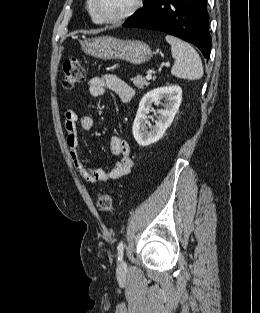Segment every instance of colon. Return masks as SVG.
I'll return each mask as SVG.
<instances>
[{"label": "colon", "mask_w": 260, "mask_h": 313, "mask_svg": "<svg viewBox=\"0 0 260 313\" xmlns=\"http://www.w3.org/2000/svg\"><path fill=\"white\" fill-rule=\"evenodd\" d=\"M85 78V71L76 57L68 58L63 64L62 85L66 89H72L81 84ZM97 208L102 212H110L113 206L112 197L109 194L97 196Z\"/></svg>", "instance_id": "colon-1"}]
</instances>
